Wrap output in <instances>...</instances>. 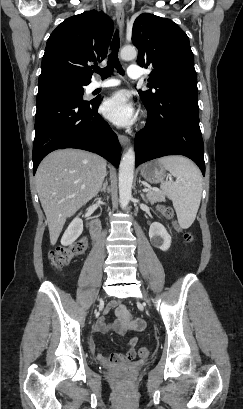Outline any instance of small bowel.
<instances>
[{"mask_svg": "<svg viewBox=\"0 0 243 409\" xmlns=\"http://www.w3.org/2000/svg\"><path fill=\"white\" fill-rule=\"evenodd\" d=\"M114 311L115 320L108 323L105 318L100 319L94 326L92 334L105 333L114 330L118 335L125 336L129 332H139L144 328V321L140 318H133L130 316L126 305L123 302H113L104 310V314L108 315ZM137 338L132 337L127 343L128 350L124 354L105 356L98 351L97 344L93 338L88 342L89 350L96 358L106 364L112 365L115 363L127 362L135 357V347L137 345Z\"/></svg>", "mask_w": 243, "mask_h": 409, "instance_id": "1", "label": "small bowel"}]
</instances>
